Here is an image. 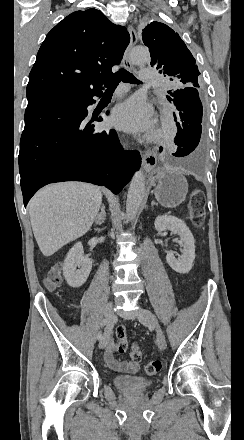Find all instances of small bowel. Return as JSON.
I'll return each instance as SVG.
<instances>
[{
    "mask_svg": "<svg viewBox=\"0 0 244 440\" xmlns=\"http://www.w3.org/2000/svg\"><path fill=\"white\" fill-rule=\"evenodd\" d=\"M115 344L109 341L104 352V359L107 365L114 371L126 375H134L140 370V363H131V361L119 360L114 357Z\"/></svg>",
    "mask_w": 244,
    "mask_h": 440,
    "instance_id": "obj_1",
    "label": "small bowel"
}]
</instances>
